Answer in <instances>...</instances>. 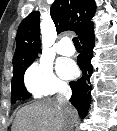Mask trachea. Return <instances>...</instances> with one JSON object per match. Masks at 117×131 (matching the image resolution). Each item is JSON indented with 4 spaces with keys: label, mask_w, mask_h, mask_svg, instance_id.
Wrapping results in <instances>:
<instances>
[{
    "label": "trachea",
    "mask_w": 117,
    "mask_h": 131,
    "mask_svg": "<svg viewBox=\"0 0 117 131\" xmlns=\"http://www.w3.org/2000/svg\"><path fill=\"white\" fill-rule=\"evenodd\" d=\"M73 43H74V46H80V42L77 37L73 38Z\"/></svg>",
    "instance_id": "trachea-1"
}]
</instances>
